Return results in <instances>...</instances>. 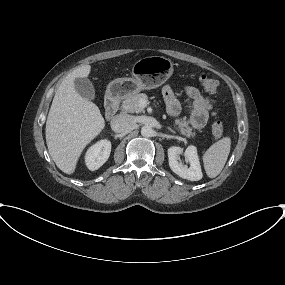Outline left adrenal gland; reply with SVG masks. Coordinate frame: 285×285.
I'll return each mask as SVG.
<instances>
[{
    "mask_svg": "<svg viewBox=\"0 0 285 285\" xmlns=\"http://www.w3.org/2000/svg\"><path fill=\"white\" fill-rule=\"evenodd\" d=\"M167 129H168L169 131H171L172 133H175V131L172 130L170 127H167Z\"/></svg>",
    "mask_w": 285,
    "mask_h": 285,
    "instance_id": "1",
    "label": "left adrenal gland"
}]
</instances>
